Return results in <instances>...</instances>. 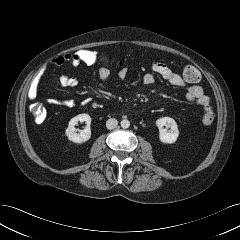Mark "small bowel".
Instances as JSON below:
<instances>
[{
    "mask_svg": "<svg viewBox=\"0 0 240 240\" xmlns=\"http://www.w3.org/2000/svg\"><path fill=\"white\" fill-rule=\"evenodd\" d=\"M69 54H64L57 56L52 60L55 66H63L67 64H72ZM118 77L120 79H126L129 73L128 66L124 62H120L118 65ZM159 76L166 80L170 85L174 87H185L187 81L184 79L183 75L174 72L165 63L160 61H155L151 65V72L146 73L142 77V81L146 85H151L155 81V76ZM111 76L110 70L106 66L100 67L98 71V78L101 82L106 83L109 81ZM60 85L63 87L73 88L76 87L78 81L76 78L71 77L67 74H62L59 78ZM39 80L36 79L32 82L28 90V98L33 100L36 98L38 93ZM186 99L189 102L195 103L199 106L209 107L211 104V98L206 95L202 87L198 84H192L186 87ZM47 102L51 105H61L68 108L75 106V101L73 99H58L49 98Z\"/></svg>",
    "mask_w": 240,
    "mask_h": 240,
    "instance_id": "small-bowel-1",
    "label": "small bowel"
}]
</instances>
